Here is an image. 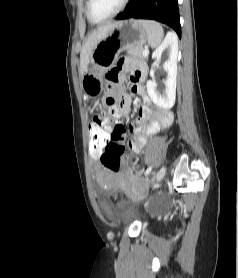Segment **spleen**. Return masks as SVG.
Wrapping results in <instances>:
<instances>
[{
  "label": "spleen",
  "mask_w": 238,
  "mask_h": 278,
  "mask_svg": "<svg viewBox=\"0 0 238 278\" xmlns=\"http://www.w3.org/2000/svg\"><path fill=\"white\" fill-rule=\"evenodd\" d=\"M140 22L147 30L149 45L153 48L159 46L164 35L162 26L155 21L141 20Z\"/></svg>",
  "instance_id": "spleen-1"
}]
</instances>
